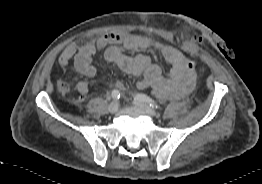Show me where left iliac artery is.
Returning a JSON list of instances; mask_svg holds the SVG:
<instances>
[{
	"instance_id": "44dca946",
	"label": "left iliac artery",
	"mask_w": 262,
	"mask_h": 184,
	"mask_svg": "<svg viewBox=\"0 0 262 184\" xmlns=\"http://www.w3.org/2000/svg\"><path fill=\"white\" fill-rule=\"evenodd\" d=\"M135 99L136 100H139V101H141V102H144V103H147V104H149L150 105V107H152V108H156V109H162L161 107H159L158 105H157V103L152 99V98H150L149 96H147V95H145V94H137L136 96H135Z\"/></svg>"
}]
</instances>
